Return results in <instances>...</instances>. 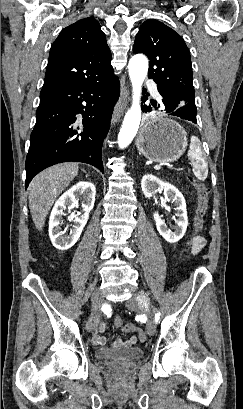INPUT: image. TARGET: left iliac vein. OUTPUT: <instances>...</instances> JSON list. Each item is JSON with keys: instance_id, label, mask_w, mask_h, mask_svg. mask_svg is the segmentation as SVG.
<instances>
[{"instance_id": "left-iliac-vein-1", "label": "left iliac vein", "mask_w": 243, "mask_h": 409, "mask_svg": "<svg viewBox=\"0 0 243 409\" xmlns=\"http://www.w3.org/2000/svg\"><path fill=\"white\" fill-rule=\"evenodd\" d=\"M138 298L137 299H130L127 302V306L129 308H134L138 306ZM140 308V307H139ZM145 314L148 316L149 320L147 322V332L149 335H153L156 332V324L154 321V315L150 310H144Z\"/></svg>"}]
</instances>
